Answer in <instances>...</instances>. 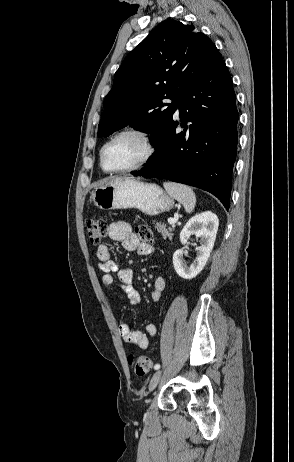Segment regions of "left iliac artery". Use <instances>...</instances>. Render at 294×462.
Listing matches in <instances>:
<instances>
[{"label":"left iliac artery","instance_id":"obj_1","mask_svg":"<svg viewBox=\"0 0 294 462\" xmlns=\"http://www.w3.org/2000/svg\"><path fill=\"white\" fill-rule=\"evenodd\" d=\"M154 369H155V370L160 369V364H156V365L154 366Z\"/></svg>","mask_w":294,"mask_h":462}]
</instances>
